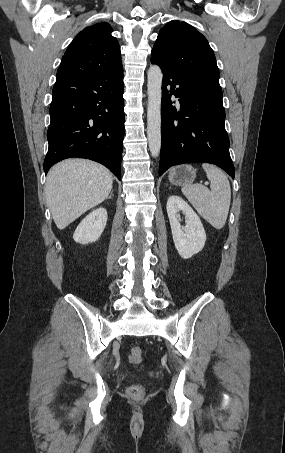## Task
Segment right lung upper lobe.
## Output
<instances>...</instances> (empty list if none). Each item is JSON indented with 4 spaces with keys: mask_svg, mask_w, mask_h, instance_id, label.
Masks as SVG:
<instances>
[{
    "mask_svg": "<svg viewBox=\"0 0 285 453\" xmlns=\"http://www.w3.org/2000/svg\"><path fill=\"white\" fill-rule=\"evenodd\" d=\"M113 29L101 22L79 32L62 57L58 75L111 74L123 70L120 46L111 35Z\"/></svg>",
    "mask_w": 285,
    "mask_h": 453,
    "instance_id": "obj_1",
    "label": "right lung upper lobe"
}]
</instances>
